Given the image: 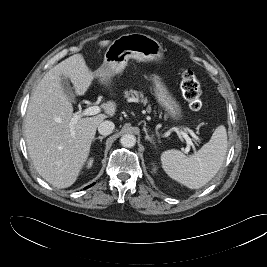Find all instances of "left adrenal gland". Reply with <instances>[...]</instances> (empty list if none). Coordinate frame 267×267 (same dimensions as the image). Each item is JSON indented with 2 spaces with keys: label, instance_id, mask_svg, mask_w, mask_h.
Returning a JSON list of instances; mask_svg holds the SVG:
<instances>
[{
  "label": "left adrenal gland",
  "instance_id": "obj_1",
  "mask_svg": "<svg viewBox=\"0 0 267 267\" xmlns=\"http://www.w3.org/2000/svg\"><path fill=\"white\" fill-rule=\"evenodd\" d=\"M143 130H144V132H145V134H146L145 139H146L147 141H150L151 143H153V144L155 145L154 140H153V137H150V136L148 135V131H147V129H146L145 126L143 127Z\"/></svg>",
  "mask_w": 267,
  "mask_h": 267
}]
</instances>
